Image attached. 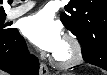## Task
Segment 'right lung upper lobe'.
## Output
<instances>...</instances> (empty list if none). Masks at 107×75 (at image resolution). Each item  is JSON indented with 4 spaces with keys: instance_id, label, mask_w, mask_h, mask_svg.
<instances>
[{
    "instance_id": "right-lung-upper-lobe-1",
    "label": "right lung upper lobe",
    "mask_w": 107,
    "mask_h": 75,
    "mask_svg": "<svg viewBox=\"0 0 107 75\" xmlns=\"http://www.w3.org/2000/svg\"><path fill=\"white\" fill-rule=\"evenodd\" d=\"M2 0H0V5L2 4ZM0 14H5L4 8L0 6Z\"/></svg>"
}]
</instances>
